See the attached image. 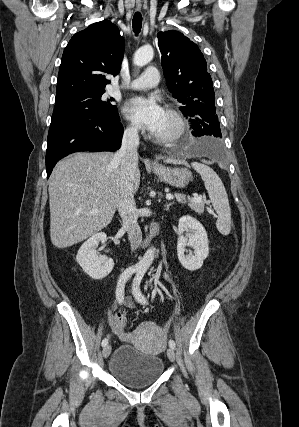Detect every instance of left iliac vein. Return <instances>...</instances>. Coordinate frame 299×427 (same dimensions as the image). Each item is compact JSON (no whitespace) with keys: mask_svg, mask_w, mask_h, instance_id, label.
Returning a JSON list of instances; mask_svg holds the SVG:
<instances>
[{"mask_svg":"<svg viewBox=\"0 0 299 427\" xmlns=\"http://www.w3.org/2000/svg\"><path fill=\"white\" fill-rule=\"evenodd\" d=\"M167 356H168V358L171 360V361H174L175 360V351H174V348H168L167 349Z\"/></svg>","mask_w":299,"mask_h":427,"instance_id":"1","label":"left iliac vein"}]
</instances>
